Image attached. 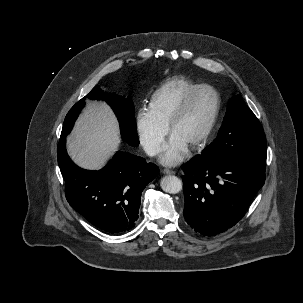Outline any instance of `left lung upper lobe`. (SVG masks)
<instances>
[{
    "label": "left lung upper lobe",
    "mask_w": 303,
    "mask_h": 303,
    "mask_svg": "<svg viewBox=\"0 0 303 303\" xmlns=\"http://www.w3.org/2000/svg\"><path fill=\"white\" fill-rule=\"evenodd\" d=\"M201 155L211 159L230 158L265 171V135L259 120L240 95L229 101L217 138Z\"/></svg>",
    "instance_id": "5c2ea615"
}]
</instances>
